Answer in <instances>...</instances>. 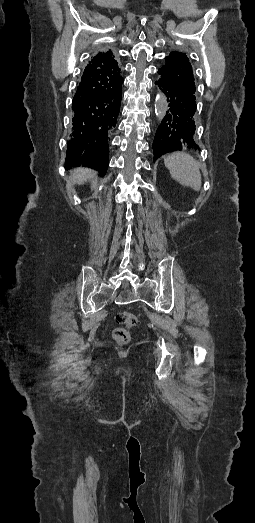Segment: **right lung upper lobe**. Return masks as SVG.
Segmentation results:
<instances>
[{"label": "right lung upper lobe", "instance_id": "cb5924a9", "mask_svg": "<svg viewBox=\"0 0 255 523\" xmlns=\"http://www.w3.org/2000/svg\"><path fill=\"white\" fill-rule=\"evenodd\" d=\"M123 78L121 68L111 50L99 52L87 64L81 81L73 97L72 134L68 142L65 165L91 167L105 174L108 168L109 140L113 132L121 103ZM92 96L100 98V132L97 138L83 136V114L79 112V102ZM94 141V152H83V141Z\"/></svg>", "mask_w": 255, "mask_h": 523}]
</instances>
